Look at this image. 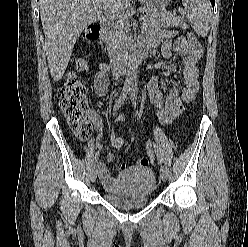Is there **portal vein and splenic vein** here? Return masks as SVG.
<instances>
[{"label": "portal vein and splenic vein", "instance_id": "obj_1", "mask_svg": "<svg viewBox=\"0 0 248 247\" xmlns=\"http://www.w3.org/2000/svg\"><path fill=\"white\" fill-rule=\"evenodd\" d=\"M139 12H143V9H142V8H140V9H139Z\"/></svg>", "mask_w": 248, "mask_h": 247}]
</instances>
